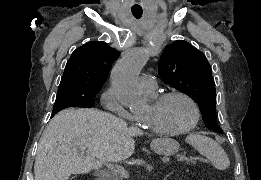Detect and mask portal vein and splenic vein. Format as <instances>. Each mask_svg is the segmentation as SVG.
I'll return each instance as SVG.
<instances>
[{"instance_id": "18ae733b", "label": "portal vein and splenic vein", "mask_w": 261, "mask_h": 180, "mask_svg": "<svg viewBox=\"0 0 261 180\" xmlns=\"http://www.w3.org/2000/svg\"><path fill=\"white\" fill-rule=\"evenodd\" d=\"M179 156V159H177V162L184 163L187 161V156L185 154H177ZM173 164H176V161H173ZM112 170L114 174H117V176H121V178H129V172L125 170V168H116V166H112Z\"/></svg>"}]
</instances>
